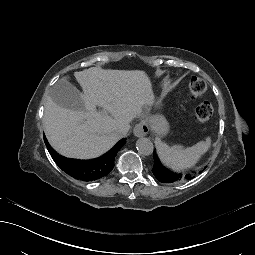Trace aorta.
<instances>
[{
  "mask_svg": "<svg viewBox=\"0 0 255 255\" xmlns=\"http://www.w3.org/2000/svg\"><path fill=\"white\" fill-rule=\"evenodd\" d=\"M136 148L140 154L149 156L153 153L154 146L151 140L142 137L137 140Z\"/></svg>",
  "mask_w": 255,
  "mask_h": 255,
  "instance_id": "obj_1",
  "label": "aorta"
}]
</instances>
